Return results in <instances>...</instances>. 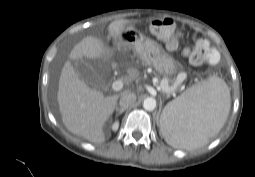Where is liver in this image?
Instances as JSON below:
<instances>
[{"label": "liver", "mask_w": 255, "mask_h": 177, "mask_svg": "<svg viewBox=\"0 0 255 177\" xmlns=\"http://www.w3.org/2000/svg\"><path fill=\"white\" fill-rule=\"evenodd\" d=\"M129 20H118L109 24L108 33L121 48V36ZM114 52L106 47L102 40L88 36L82 39L72 49L70 60L102 59L106 61ZM120 95L104 96L101 91L88 87L74 70L70 61H67L61 71L57 100L66 128L73 134L84 137L93 143L105 141L103 127L113 114Z\"/></svg>", "instance_id": "liver-1"}]
</instances>
